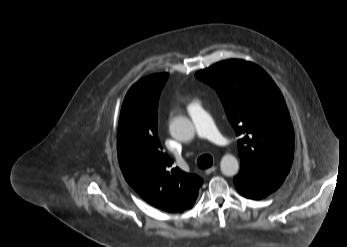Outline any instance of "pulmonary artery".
I'll return each mask as SVG.
<instances>
[{
  "mask_svg": "<svg viewBox=\"0 0 347 247\" xmlns=\"http://www.w3.org/2000/svg\"><path fill=\"white\" fill-rule=\"evenodd\" d=\"M187 112L195 125L199 138L209 139L218 145L227 144L226 138L219 132L213 119L198 100L188 104Z\"/></svg>",
  "mask_w": 347,
  "mask_h": 247,
  "instance_id": "e3ab8cb5",
  "label": "pulmonary artery"
}]
</instances>
